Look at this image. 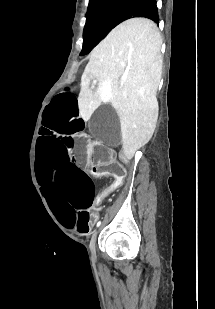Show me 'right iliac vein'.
<instances>
[{"instance_id":"right-iliac-vein-1","label":"right iliac vein","mask_w":215,"mask_h":309,"mask_svg":"<svg viewBox=\"0 0 215 309\" xmlns=\"http://www.w3.org/2000/svg\"><path fill=\"white\" fill-rule=\"evenodd\" d=\"M96 236H97V231H94L92 237H91V241H90V244H89V247H90V250L92 253H95L96 251Z\"/></svg>"}]
</instances>
